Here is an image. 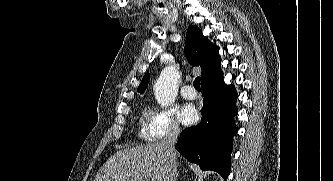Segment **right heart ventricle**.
<instances>
[{
  "instance_id": "obj_1",
  "label": "right heart ventricle",
  "mask_w": 333,
  "mask_h": 181,
  "mask_svg": "<svg viewBox=\"0 0 333 181\" xmlns=\"http://www.w3.org/2000/svg\"><path fill=\"white\" fill-rule=\"evenodd\" d=\"M152 115V111L147 108L144 107L141 111V120H142V127H141V135L143 137L148 138L149 137V131L147 129V122L149 121L150 117Z\"/></svg>"
}]
</instances>
